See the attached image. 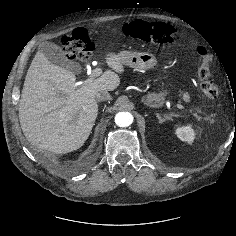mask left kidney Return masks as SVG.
Masks as SVG:
<instances>
[{
	"mask_svg": "<svg viewBox=\"0 0 236 236\" xmlns=\"http://www.w3.org/2000/svg\"><path fill=\"white\" fill-rule=\"evenodd\" d=\"M177 137L189 144H191L195 139V132L191 126H182L176 129Z\"/></svg>",
	"mask_w": 236,
	"mask_h": 236,
	"instance_id": "1",
	"label": "left kidney"
}]
</instances>
